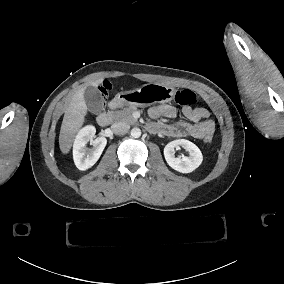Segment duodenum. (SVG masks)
I'll list each match as a JSON object with an SVG mask.
<instances>
[{"label": "duodenum", "instance_id": "1", "mask_svg": "<svg viewBox=\"0 0 284 284\" xmlns=\"http://www.w3.org/2000/svg\"><path fill=\"white\" fill-rule=\"evenodd\" d=\"M123 102V100L116 98L111 101L112 107L118 106ZM111 113L110 112H102L99 113L96 117L97 124L101 127H107L111 122Z\"/></svg>", "mask_w": 284, "mask_h": 284}]
</instances>
